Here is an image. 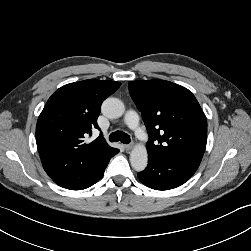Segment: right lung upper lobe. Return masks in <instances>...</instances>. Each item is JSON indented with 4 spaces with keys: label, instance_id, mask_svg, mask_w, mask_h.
Masks as SVG:
<instances>
[{
    "label": "right lung upper lobe",
    "instance_id": "right-lung-upper-lobe-1",
    "mask_svg": "<svg viewBox=\"0 0 251 251\" xmlns=\"http://www.w3.org/2000/svg\"><path fill=\"white\" fill-rule=\"evenodd\" d=\"M121 83L84 80L59 88L47 101L36 125V142L43 168L51 178L77 177L93 170L114 149L102 135L84 138L99 129L102 102Z\"/></svg>",
    "mask_w": 251,
    "mask_h": 251
}]
</instances>
